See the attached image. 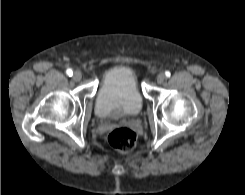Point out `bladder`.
<instances>
[{
  "label": "bladder",
  "mask_w": 245,
  "mask_h": 195,
  "mask_svg": "<svg viewBox=\"0 0 245 195\" xmlns=\"http://www.w3.org/2000/svg\"><path fill=\"white\" fill-rule=\"evenodd\" d=\"M143 106V96L134 71L115 66L104 76L97 92L95 112L100 118L133 116Z\"/></svg>",
  "instance_id": "obj_1"
}]
</instances>
